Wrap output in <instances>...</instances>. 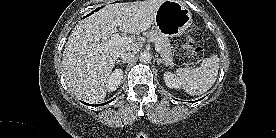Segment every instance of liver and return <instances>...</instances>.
I'll list each match as a JSON object with an SVG mask.
<instances>
[{
  "mask_svg": "<svg viewBox=\"0 0 276 138\" xmlns=\"http://www.w3.org/2000/svg\"><path fill=\"white\" fill-rule=\"evenodd\" d=\"M164 0L109 4L79 21L72 30L63 52L62 66L66 84L78 99L95 103L107 93L106 82L120 50L132 42L110 43L119 30L139 34L150 28Z\"/></svg>",
  "mask_w": 276,
  "mask_h": 138,
  "instance_id": "6515ba94",
  "label": "liver"
}]
</instances>
